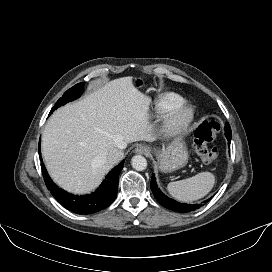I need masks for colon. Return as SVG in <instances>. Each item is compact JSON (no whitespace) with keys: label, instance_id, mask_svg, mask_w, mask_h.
Here are the masks:
<instances>
[{"label":"colon","instance_id":"colon-1","mask_svg":"<svg viewBox=\"0 0 272 272\" xmlns=\"http://www.w3.org/2000/svg\"><path fill=\"white\" fill-rule=\"evenodd\" d=\"M220 131L216 120L202 122L194 132V147L198 156L205 163H212L218 156L217 148L211 146Z\"/></svg>","mask_w":272,"mask_h":272}]
</instances>
